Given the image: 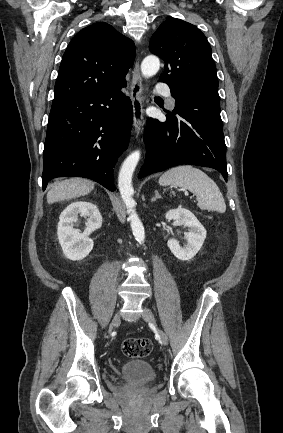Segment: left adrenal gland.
<instances>
[{
	"label": "left adrenal gland",
	"instance_id": "left-adrenal-gland-1",
	"mask_svg": "<svg viewBox=\"0 0 283 433\" xmlns=\"http://www.w3.org/2000/svg\"><path fill=\"white\" fill-rule=\"evenodd\" d=\"M156 198H162L161 194H159L158 190H155V196H153V198H151V202H153V200H156Z\"/></svg>",
	"mask_w": 283,
	"mask_h": 433
}]
</instances>
